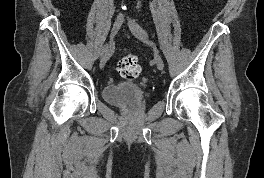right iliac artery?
Returning <instances> with one entry per match:
<instances>
[{
    "mask_svg": "<svg viewBox=\"0 0 264 178\" xmlns=\"http://www.w3.org/2000/svg\"><path fill=\"white\" fill-rule=\"evenodd\" d=\"M106 51H107V47H104L102 50L101 56H103Z\"/></svg>",
    "mask_w": 264,
    "mask_h": 178,
    "instance_id": "obj_1",
    "label": "right iliac artery"
}]
</instances>
